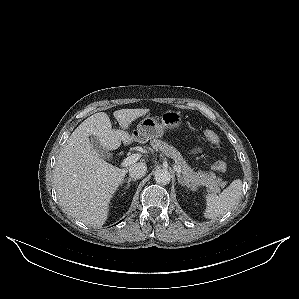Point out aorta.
<instances>
[{
    "mask_svg": "<svg viewBox=\"0 0 299 299\" xmlns=\"http://www.w3.org/2000/svg\"><path fill=\"white\" fill-rule=\"evenodd\" d=\"M156 183L166 185L171 180L170 172L167 169H158L154 173Z\"/></svg>",
    "mask_w": 299,
    "mask_h": 299,
    "instance_id": "1",
    "label": "aorta"
}]
</instances>
